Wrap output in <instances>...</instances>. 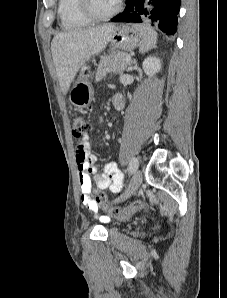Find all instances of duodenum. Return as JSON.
Masks as SVG:
<instances>
[{
    "instance_id": "1",
    "label": "duodenum",
    "mask_w": 227,
    "mask_h": 298,
    "mask_svg": "<svg viewBox=\"0 0 227 298\" xmlns=\"http://www.w3.org/2000/svg\"><path fill=\"white\" fill-rule=\"evenodd\" d=\"M112 102H113L114 108L117 110L122 109L124 106V101L121 97H118V96L113 97Z\"/></svg>"
}]
</instances>
